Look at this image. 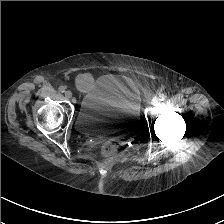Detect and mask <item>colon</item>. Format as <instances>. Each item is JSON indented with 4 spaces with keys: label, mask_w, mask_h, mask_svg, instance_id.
Returning a JSON list of instances; mask_svg holds the SVG:
<instances>
[{
    "label": "colon",
    "mask_w": 224,
    "mask_h": 224,
    "mask_svg": "<svg viewBox=\"0 0 224 224\" xmlns=\"http://www.w3.org/2000/svg\"><path fill=\"white\" fill-rule=\"evenodd\" d=\"M90 83H91V79L87 76L80 78V80L78 82L79 87H81V88H87ZM117 152H118V146L113 143H105L102 146V153L105 156L112 157V156L116 155Z\"/></svg>",
    "instance_id": "colon-1"
}]
</instances>
